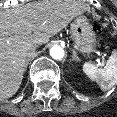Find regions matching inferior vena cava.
<instances>
[{"instance_id": "602c4592", "label": "inferior vena cava", "mask_w": 117, "mask_h": 117, "mask_svg": "<svg viewBox=\"0 0 117 117\" xmlns=\"http://www.w3.org/2000/svg\"><path fill=\"white\" fill-rule=\"evenodd\" d=\"M27 54H28L30 57H35V56L38 54V49H37L35 46H30V47L27 49Z\"/></svg>"}]
</instances>
